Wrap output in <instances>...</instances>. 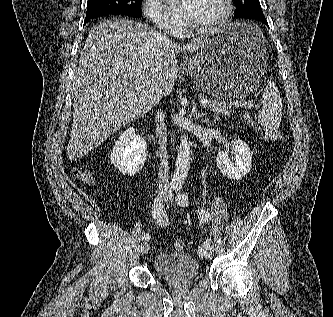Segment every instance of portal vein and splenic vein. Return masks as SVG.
<instances>
[{
    "instance_id": "1",
    "label": "portal vein and splenic vein",
    "mask_w": 333,
    "mask_h": 317,
    "mask_svg": "<svg viewBox=\"0 0 333 317\" xmlns=\"http://www.w3.org/2000/svg\"><path fill=\"white\" fill-rule=\"evenodd\" d=\"M209 103H211V100H208V99H205V98H202V99L200 100V104L203 105V106H206V105H208ZM233 104H234L235 106H242V107L249 108V109H253V108L258 109V108H260L259 105H254V104L251 103V102L246 103V102L236 101V102H234Z\"/></svg>"
}]
</instances>
